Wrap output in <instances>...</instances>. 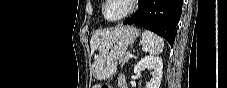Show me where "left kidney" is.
Listing matches in <instances>:
<instances>
[{
    "mask_svg": "<svg viewBox=\"0 0 227 88\" xmlns=\"http://www.w3.org/2000/svg\"><path fill=\"white\" fill-rule=\"evenodd\" d=\"M146 68L153 70L152 77L146 84V88H159L162 79V59L157 56H145L135 65L134 73H140Z\"/></svg>",
    "mask_w": 227,
    "mask_h": 88,
    "instance_id": "5707ae66",
    "label": "left kidney"
}]
</instances>
